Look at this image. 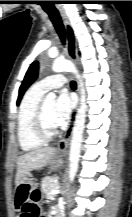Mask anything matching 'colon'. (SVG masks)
Instances as JSON below:
<instances>
[{
	"label": "colon",
	"mask_w": 132,
	"mask_h": 217,
	"mask_svg": "<svg viewBox=\"0 0 132 217\" xmlns=\"http://www.w3.org/2000/svg\"><path fill=\"white\" fill-rule=\"evenodd\" d=\"M40 194L38 191H33L26 199V209L32 217L40 216Z\"/></svg>",
	"instance_id": "colon-1"
}]
</instances>
